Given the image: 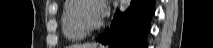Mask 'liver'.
<instances>
[{"label": "liver", "instance_id": "liver-1", "mask_svg": "<svg viewBox=\"0 0 213 48\" xmlns=\"http://www.w3.org/2000/svg\"><path fill=\"white\" fill-rule=\"evenodd\" d=\"M96 44L85 43V44H74L69 48H97Z\"/></svg>", "mask_w": 213, "mask_h": 48}]
</instances>
